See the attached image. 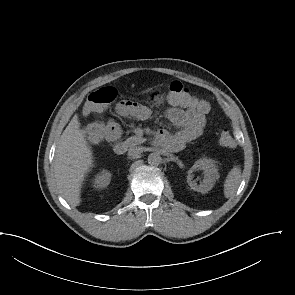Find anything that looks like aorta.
I'll list each match as a JSON object with an SVG mask.
<instances>
[{
	"instance_id": "aorta-1",
	"label": "aorta",
	"mask_w": 295,
	"mask_h": 295,
	"mask_svg": "<svg viewBox=\"0 0 295 295\" xmlns=\"http://www.w3.org/2000/svg\"><path fill=\"white\" fill-rule=\"evenodd\" d=\"M148 163L152 166H158L162 162V157L160 156L159 153L153 152L150 153L148 156Z\"/></svg>"
}]
</instances>
